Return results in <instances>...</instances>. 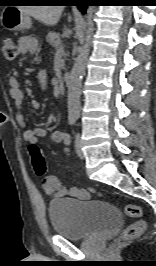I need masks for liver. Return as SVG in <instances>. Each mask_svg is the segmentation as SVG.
Returning a JSON list of instances; mask_svg holds the SVG:
<instances>
[{
	"label": "liver",
	"instance_id": "obj_1",
	"mask_svg": "<svg viewBox=\"0 0 156 266\" xmlns=\"http://www.w3.org/2000/svg\"><path fill=\"white\" fill-rule=\"evenodd\" d=\"M64 6H22L20 10L45 25L53 26L59 21ZM71 17H69V21Z\"/></svg>",
	"mask_w": 156,
	"mask_h": 266
}]
</instances>
